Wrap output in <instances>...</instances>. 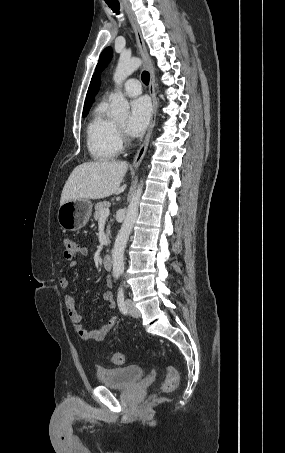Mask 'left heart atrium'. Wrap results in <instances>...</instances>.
<instances>
[{
    "instance_id": "obj_1",
    "label": "left heart atrium",
    "mask_w": 285,
    "mask_h": 453,
    "mask_svg": "<svg viewBox=\"0 0 285 453\" xmlns=\"http://www.w3.org/2000/svg\"><path fill=\"white\" fill-rule=\"evenodd\" d=\"M151 106L147 98L140 97L131 102L127 131L132 136L141 135L148 126Z\"/></svg>"
}]
</instances>
